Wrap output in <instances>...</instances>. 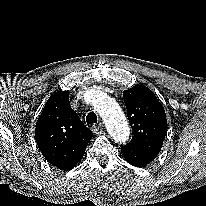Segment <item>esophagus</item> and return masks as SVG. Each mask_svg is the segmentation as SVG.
<instances>
[{"label": "esophagus", "instance_id": "esophagus-1", "mask_svg": "<svg viewBox=\"0 0 206 206\" xmlns=\"http://www.w3.org/2000/svg\"><path fill=\"white\" fill-rule=\"evenodd\" d=\"M102 127H103V123L100 122V123H98V124L92 125L91 130H92L93 132H97V131L100 130Z\"/></svg>", "mask_w": 206, "mask_h": 206}]
</instances>
